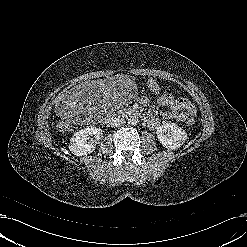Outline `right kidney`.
Here are the masks:
<instances>
[{"label": "right kidney", "instance_id": "1", "mask_svg": "<svg viewBox=\"0 0 247 247\" xmlns=\"http://www.w3.org/2000/svg\"><path fill=\"white\" fill-rule=\"evenodd\" d=\"M93 135L96 140L101 139L102 130L96 127H87L76 132L70 139V151L76 156L92 153L96 149V142L89 140Z\"/></svg>", "mask_w": 247, "mask_h": 247}]
</instances>
